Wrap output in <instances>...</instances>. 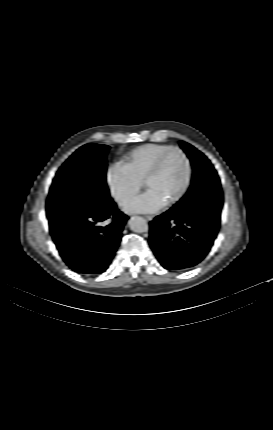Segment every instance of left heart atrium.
<instances>
[{
	"label": "left heart atrium",
	"mask_w": 273,
	"mask_h": 430,
	"mask_svg": "<svg viewBox=\"0 0 273 430\" xmlns=\"http://www.w3.org/2000/svg\"><path fill=\"white\" fill-rule=\"evenodd\" d=\"M165 202L152 190L131 200L125 207L128 213H153L161 210Z\"/></svg>",
	"instance_id": "1"
}]
</instances>
